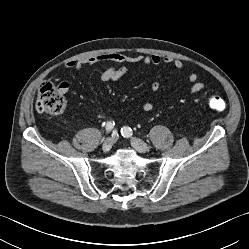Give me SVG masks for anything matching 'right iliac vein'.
Wrapping results in <instances>:
<instances>
[{
    "instance_id": "1",
    "label": "right iliac vein",
    "mask_w": 249,
    "mask_h": 249,
    "mask_svg": "<svg viewBox=\"0 0 249 249\" xmlns=\"http://www.w3.org/2000/svg\"><path fill=\"white\" fill-rule=\"evenodd\" d=\"M113 140L112 138H107L102 146L104 152H108L112 148Z\"/></svg>"
}]
</instances>
